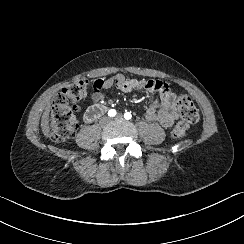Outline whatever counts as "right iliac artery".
Listing matches in <instances>:
<instances>
[{"instance_id": "obj_1", "label": "right iliac artery", "mask_w": 244, "mask_h": 244, "mask_svg": "<svg viewBox=\"0 0 244 244\" xmlns=\"http://www.w3.org/2000/svg\"><path fill=\"white\" fill-rule=\"evenodd\" d=\"M115 115H116V110L111 109V110L108 111V116L114 117Z\"/></svg>"}]
</instances>
